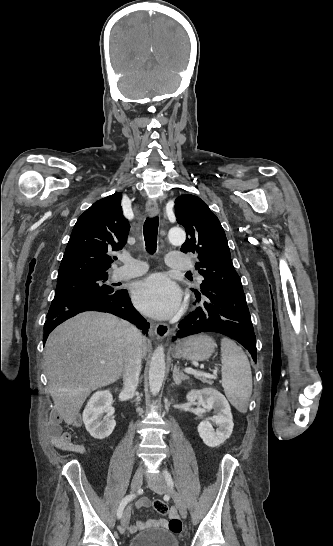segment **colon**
Masks as SVG:
<instances>
[{"label":"colon","instance_id":"5ec220e1","mask_svg":"<svg viewBox=\"0 0 333 546\" xmlns=\"http://www.w3.org/2000/svg\"><path fill=\"white\" fill-rule=\"evenodd\" d=\"M154 510L161 515H166L169 512V507L163 500L157 499L153 503Z\"/></svg>","mask_w":333,"mask_h":546}]
</instances>
